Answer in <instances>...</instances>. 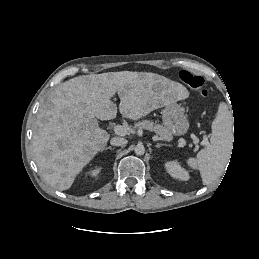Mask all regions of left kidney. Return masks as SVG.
Returning <instances> with one entry per match:
<instances>
[{"mask_svg": "<svg viewBox=\"0 0 259 259\" xmlns=\"http://www.w3.org/2000/svg\"><path fill=\"white\" fill-rule=\"evenodd\" d=\"M167 172L173 177L183 181L189 179V173L181 167L177 161H168L165 163Z\"/></svg>", "mask_w": 259, "mask_h": 259, "instance_id": "5707ae66", "label": "left kidney"}]
</instances>
